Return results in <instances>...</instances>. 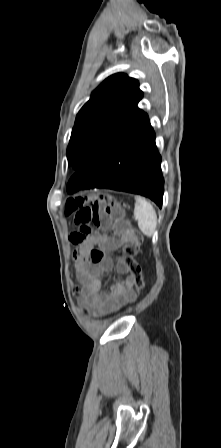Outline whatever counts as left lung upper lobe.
Wrapping results in <instances>:
<instances>
[{
	"mask_svg": "<svg viewBox=\"0 0 221 448\" xmlns=\"http://www.w3.org/2000/svg\"><path fill=\"white\" fill-rule=\"evenodd\" d=\"M142 96L138 81L125 74L100 84L77 114L67 148L68 165L76 170L99 165L140 129L148 121L137 107Z\"/></svg>",
	"mask_w": 221,
	"mask_h": 448,
	"instance_id": "left-lung-upper-lobe-1",
	"label": "left lung upper lobe"
}]
</instances>
